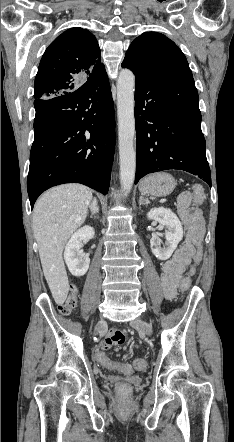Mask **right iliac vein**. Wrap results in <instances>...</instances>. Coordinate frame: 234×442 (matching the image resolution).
Masks as SVG:
<instances>
[{
    "mask_svg": "<svg viewBox=\"0 0 234 442\" xmlns=\"http://www.w3.org/2000/svg\"><path fill=\"white\" fill-rule=\"evenodd\" d=\"M106 323L104 320H100L95 327V334H97L101 329L105 327Z\"/></svg>",
    "mask_w": 234,
    "mask_h": 442,
    "instance_id": "right-iliac-vein-1",
    "label": "right iliac vein"
}]
</instances>
